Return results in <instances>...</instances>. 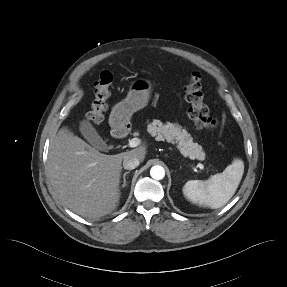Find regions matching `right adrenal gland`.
<instances>
[{"label":"right adrenal gland","instance_id":"1","mask_svg":"<svg viewBox=\"0 0 287 287\" xmlns=\"http://www.w3.org/2000/svg\"><path fill=\"white\" fill-rule=\"evenodd\" d=\"M129 173V171L128 172H125L124 174H123V184H122V187L124 188L125 186H126V175Z\"/></svg>","mask_w":287,"mask_h":287}]
</instances>
